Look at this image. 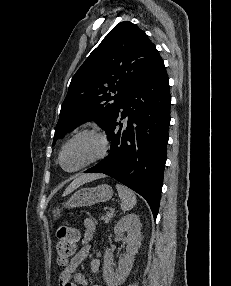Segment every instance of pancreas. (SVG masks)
<instances>
[{"mask_svg":"<svg viewBox=\"0 0 231 286\" xmlns=\"http://www.w3.org/2000/svg\"><path fill=\"white\" fill-rule=\"evenodd\" d=\"M114 215H115L114 211L110 209L109 212H107L105 215L101 217V220L104 221L105 223H108L114 217Z\"/></svg>","mask_w":231,"mask_h":286,"instance_id":"cf45deb5","label":"pancreas"}]
</instances>
